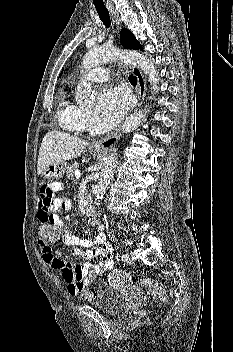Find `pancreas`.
<instances>
[{
	"label": "pancreas",
	"mask_w": 233,
	"mask_h": 352,
	"mask_svg": "<svg viewBox=\"0 0 233 352\" xmlns=\"http://www.w3.org/2000/svg\"><path fill=\"white\" fill-rule=\"evenodd\" d=\"M78 165L72 164L67 167V177L70 179H74L75 171L77 170Z\"/></svg>",
	"instance_id": "1"
}]
</instances>
